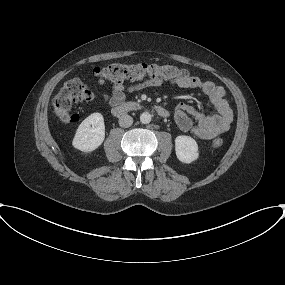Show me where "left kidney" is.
Instances as JSON below:
<instances>
[{"mask_svg":"<svg viewBox=\"0 0 285 285\" xmlns=\"http://www.w3.org/2000/svg\"><path fill=\"white\" fill-rule=\"evenodd\" d=\"M175 151L179 161L189 164L199 157L198 144L190 136H177L175 139Z\"/></svg>","mask_w":285,"mask_h":285,"instance_id":"left-kidney-1","label":"left kidney"}]
</instances>
